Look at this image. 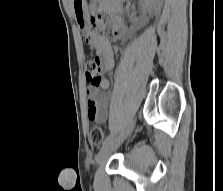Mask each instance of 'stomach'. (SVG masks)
<instances>
[{
	"label": "stomach",
	"mask_w": 223,
	"mask_h": 191,
	"mask_svg": "<svg viewBox=\"0 0 223 191\" xmlns=\"http://www.w3.org/2000/svg\"><path fill=\"white\" fill-rule=\"evenodd\" d=\"M72 9L78 27L84 32L89 31L91 24L87 0H72Z\"/></svg>",
	"instance_id": "1"
}]
</instances>
